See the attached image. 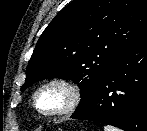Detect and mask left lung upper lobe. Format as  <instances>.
Here are the masks:
<instances>
[{"label": "left lung upper lobe", "mask_w": 147, "mask_h": 131, "mask_svg": "<svg viewBox=\"0 0 147 131\" xmlns=\"http://www.w3.org/2000/svg\"><path fill=\"white\" fill-rule=\"evenodd\" d=\"M145 38L147 0H73L39 38L21 90L42 79H70L80 88L77 113L113 62Z\"/></svg>", "instance_id": "obj_1"}]
</instances>
